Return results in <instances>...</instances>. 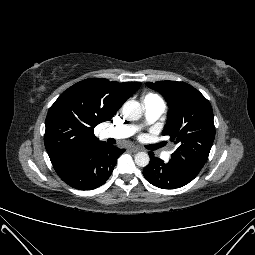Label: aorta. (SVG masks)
I'll return each instance as SVG.
<instances>
[{
	"label": "aorta",
	"instance_id": "762f6f07",
	"mask_svg": "<svg viewBox=\"0 0 255 255\" xmlns=\"http://www.w3.org/2000/svg\"><path fill=\"white\" fill-rule=\"evenodd\" d=\"M122 113L129 121H136L142 117V107L135 100L127 101L123 105ZM137 166L146 167L149 164L150 157L146 152H138L134 157Z\"/></svg>",
	"mask_w": 255,
	"mask_h": 255
}]
</instances>
